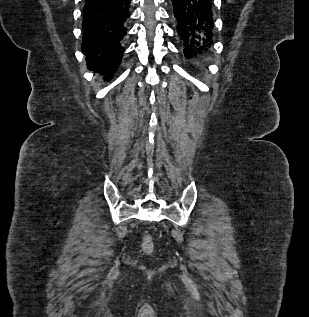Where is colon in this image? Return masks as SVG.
<instances>
[{
  "instance_id": "obj_1",
  "label": "colon",
  "mask_w": 309,
  "mask_h": 317,
  "mask_svg": "<svg viewBox=\"0 0 309 317\" xmlns=\"http://www.w3.org/2000/svg\"><path fill=\"white\" fill-rule=\"evenodd\" d=\"M142 249L146 254H152L154 252V242L150 235H145L142 239Z\"/></svg>"
}]
</instances>
